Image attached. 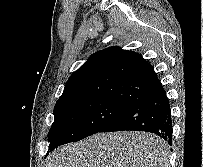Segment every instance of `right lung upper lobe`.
<instances>
[{
    "label": "right lung upper lobe",
    "mask_w": 203,
    "mask_h": 167,
    "mask_svg": "<svg viewBox=\"0 0 203 167\" xmlns=\"http://www.w3.org/2000/svg\"><path fill=\"white\" fill-rule=\"evenodd\" d=\"M162 87L153 66L118 46L91 55L67 81L55 106L82 98H106L131 105Z\"/></svg>",
    "instance_id": "cb5924a9"
}]
</instances>
